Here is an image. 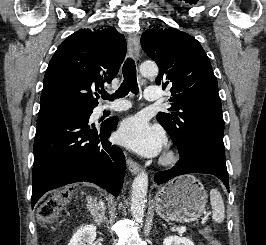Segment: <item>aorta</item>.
I'll use <instances>...</instances> for the list:
<instances>
[{
    "label": "aorta",
    "instance_id": "762f6f07",
    "mask_svg": "<svg viewBox=\"0 0 266 245\" xmlns=\"http://www.w3.org/2000/svg\"><path fill=\"white\" fill-rule=\"evenodd\" d=\"M140 72L141 74H153V76H156V74H158V66H156V64L151 66V68H148V66H141ZM147 189L148 175L145 173V171H141V173L135 177L132 183L130 197L131 215L134 217V221H138V223H141L144 217L145 205L147 203Z\"/></svg>",
    "mask_w": 266,
    "mask_h": 245
}]
</instances>
